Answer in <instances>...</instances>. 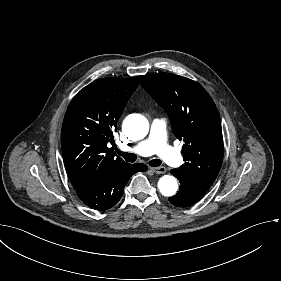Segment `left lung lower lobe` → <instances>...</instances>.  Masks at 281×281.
I'll return each instance as SVG.
<instances>
[{"label":"left lung lower lobe","mask_w":281,"mask_h":281,"mask_svg":"<svg viewBox=\"0 0 281 281\" xmlns=\"http://www.w3.org/2000/svg\"><path fill=\"white\" fill-rule=\"evenodd\" d=\"M181 183L179 192L169 198L170 203L178 207H188L198 202L207 190L198 186L192 179L181 175L177 169L171 170Z\"/></svg>","instance_id":"obj_1"}]
</instances>
